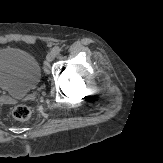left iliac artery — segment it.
<instances>
[{"instance_id":"obj_1","label":"left iliac artery","mask_w":163,"mask_h":163,"mask_svg":"<svg viewBox=\"0 0 163 163\" xmlns=\"http://www.w3.org/2000/svg\"><path fill=\"white\" fill-rule=\"evenodd\" d=\"M53 50L56 52V54H58L60 52L61 48L59 46H55L53 48Z\"/></svg>"}]
</instances>
